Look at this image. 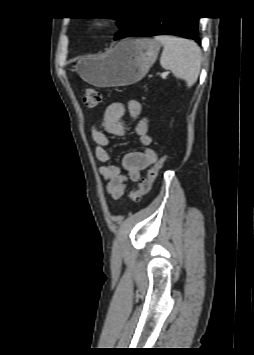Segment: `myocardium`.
Instances as JSON below:
<instances>
[{
    "label": "myocardium",
    "instance_id": "1",
    "mask_svg": "<svg viewBox=\"0 0 254 355\" xmlns=\"http://www.w3.org/2000/svg\"><path fill=\"white\" fill-rule=\"evenodd\" d=\"M110 25V21L108 19H93L92 21V29L96 33L105 32Z\"/></svg>",
    "mask_w": 254,
    "mask_h": 355
}]
</instances>
